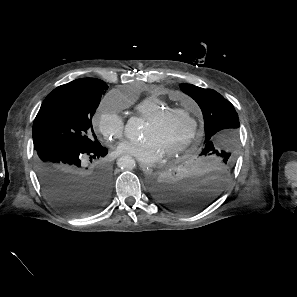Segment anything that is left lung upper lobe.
Segmentation results:
<instances>
[{
	"label": "left lung upper lobe",
	"instance_id": "obj_1",
	"mask_svg": "<svg viewBox=\"0 0 297 297\" xmlns=\"http://www.w3.org/2000/svg\"><path fill=\"white\" fill-rule=\"evenodd\" d=\"M180 89L200 106L204 117L205 141L199 155L218 156L233 162L238 145L239 118L233 105L212 89L181 84Z\"/></svg>",
	"mask_w": 297,
	"mask_h": 297
}]
</instances>
